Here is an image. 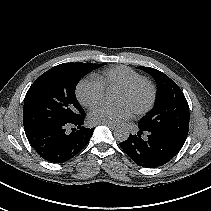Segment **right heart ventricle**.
<instances>
[{
  "label": "right heart ventricle",
  "mask_w": 211,
  "mask_h": 211,
  "mask_svg": "<svg viewBox=\"0 0 211 211\" xmlns=\"http://www.w3.org/2000/svg\"><path fill=\"white\" fill-rule=\"evenodd\" d=\"M106 88L121 87L135 80L144 78L140 73L127 66H116L96 75Z\"/></svg>",
  "instance_id": "e07e8e85"
}]
</instances>
